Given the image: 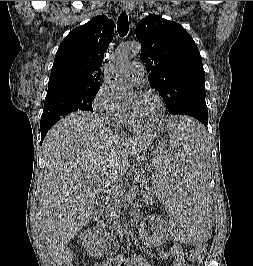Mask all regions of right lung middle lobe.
<instances>
[{"label":"right lung middle lobe","instance_id":"1","mask_svg":"<svg viewBox=\"0 0 253 266\" xmlns=\"http://www.w3.org/2000/svg\"><path fill=\"white\" fill-rule=\"evenodd\" d=\"M100 87L63 89L47 93L40 129L51 128L60 118L77 110L92 111V101Z\"/></svg>","mask_w":253,"mask_h":266}]
</instances>
